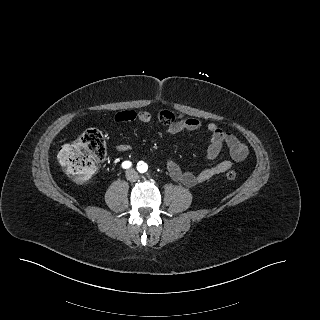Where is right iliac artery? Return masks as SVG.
<instances>
[{"label": "right iliac artery", "mask_w": 320, "mask_h": 320, "mask_svg": "<svg viewBox=\"0 0 320 320\" xmlns=\"http://www.w3.org/2000/svg\"><path fill=\"white\" fill-rule=\"evenodd\" d=\"M132 166V163L130 162V161H124L123 163H122V167L124 168V169H128V168H130Z\"/></svg>", "instance_id": "1"}]
</instances>
